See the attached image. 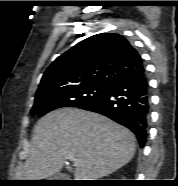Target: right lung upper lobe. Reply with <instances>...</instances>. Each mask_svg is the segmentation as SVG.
Returning a JSON list of instances; mask_svg holds the SVG:
<instances>
[{
	"label": "right lung upper lobe",
	"mask_w": 178,
	"mask_h": 186,
	"mask_svg": "<svg viewBox=\"0 0 178 186\" xmlns=\"http://www.w3.org/2000/svg\"><path fill=\"white\" fill-rule=\"evenodd\" d=\"M142 65L141 56L123 36L97 34L59 56L45 71L37 92L90 83L110 84Z\"/></svg>",
	"instance_id": "right-lung-upper-lobe-1"
}]
</instances>
